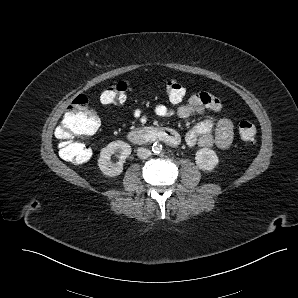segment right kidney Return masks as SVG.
<instances>
[{"label":"right kidney","instance_id":"ca27d5eb","mask_svg":"<svg viewBox=\"0 0 298 298\" xmlns=\"http://www.w3.org/2000/svg\"><path fill=\"white\" fill-rule=\"evenodd\" d=\"M115 153H119V155L117 156V161L113 162L111 156ZM130 153V145L124 141H113L101 150L98 165L105 175L113 176L120 174L123 169V164Z\"/></svg>","mask_w":298,"mask_h":298}]
</instances>
